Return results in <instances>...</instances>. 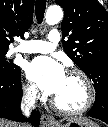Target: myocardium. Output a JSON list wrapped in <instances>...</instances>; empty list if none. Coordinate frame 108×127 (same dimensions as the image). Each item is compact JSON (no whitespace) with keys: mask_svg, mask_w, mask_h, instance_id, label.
Segmentation results:
<instances>
[{"mask_svg":"<svg viewBox=\"0 0 108 127\" xmlns=\"http://www.w3.org/2000/svg\"><path fill=\"white\" fill-rule=\"evenodd\" d=\"M68 75L71 76H75L77 78L80 79V81L82 82L83 86H84V90H85V100L84 103L78 107V108H65L63 106H61L56 99L53 97L51 99V105L52 107L62 113V114H66V115H79V114H83L85 112H87L93 105L94 100H95V91L93 88V85L89 79V77L80 69H71L68 72Z\"/></svg>","mask_w":108,"mask_h":127,"instance_id":"myocardium-1","label":"myocardium"}]
</instances>
